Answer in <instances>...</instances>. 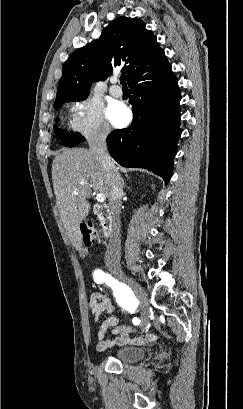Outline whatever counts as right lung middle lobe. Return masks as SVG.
<instances>
[{"label": "right lung middle lobe", "mask_w": 243, "mask_h": 409, "mask_svg": "<svg viewBox=\"0 0 243 409\" xmlns=\"http://www.w3.org/2000/svg\"><path fill=\"white\" fill-rule=\"evenodd\" d=\"M64 102L69 101H61L56 103L54 104V108L59 109ZM55 133L60 139H62V144L68 147H74L85 140V138L78 133L69 134L68 132L61 131L60 129H55Z\"/></svg>", "instance_id": "right-lung-middle-lobe-1"}]
</instances>
